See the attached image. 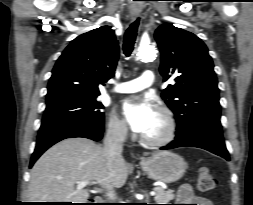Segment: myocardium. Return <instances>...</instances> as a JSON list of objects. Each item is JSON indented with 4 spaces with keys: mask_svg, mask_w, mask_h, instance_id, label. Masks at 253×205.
Segmentation results:
<instances>
[{
    "mask_svg": "<svg viewBox=\"0 0 253 205\" xmlns=\"http://www.w3.org/2000/svg\"><path fill=\"white\" fill-rule=\"evenodd\" d=\"M157 112L162 116L165 123L164 133L156 138L141 136L140 140L148 146H163L170 143L176 136L177 121L173 111L167 106H158Z\"/></svg>",
    "mask_w": 253,
    "mask_h": 205,
    "instance_id": "obj_1",
    "label": "myocardium"
}]
</instances>
